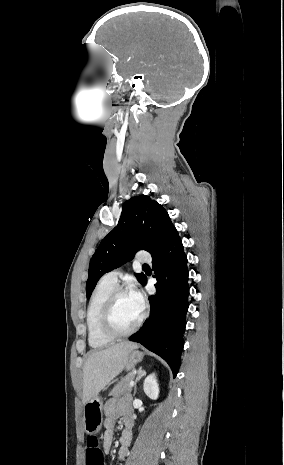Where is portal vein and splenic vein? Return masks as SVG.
<instances>
[{
    "instance_id": "portal-vein-and-splenic-vein-1",
    "label": "portal vein and splenic vein",
    "mask_w": 284,
    "mask_h": 465,
    "mask_svg": "<svg viewBox=\"0 0 284 465\" xmlns=\"http://www.w3.org/2000/svg\"><path fill=\"white\" fill-rule=\"evenodd\" d=\"M133 385H134V381H131L130 387H133Z\"/></svg>"
}]
</instances>
